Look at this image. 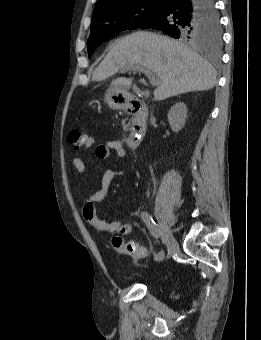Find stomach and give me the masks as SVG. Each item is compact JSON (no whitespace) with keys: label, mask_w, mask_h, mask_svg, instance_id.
<instances>
[{"label":"stomach","mask_w":261,"mask_h":340,"mask_svg":"<svg viewBox=\"0 0 261 340\" xmlns=\"http://www.w3.org/2000/svg\"><path fill=\"white\" fill-rule=\"evenodd\" d=\"M128 96V92L124 89L109 88L105 93V101L111 109H123Z\"/></svg>","instance_id":"1"}]
</instances>
